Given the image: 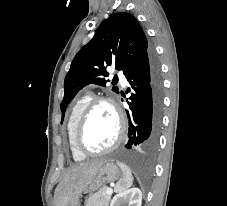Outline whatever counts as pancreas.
Here are the masks:
<instances>
[{
	"label": "pancreas",
	"mask_w": 227,
	"mask_h": 206,
	"mask_svg": "<svg viewBox=\"0 0 227 206\" xmlns=\"http://www.w3.org/2000/svg\"><path fill=\"white\" fill-rule=\"evenodd\" d=\"M108 187L103 186L97 192L91 194L85 206H108L111 194L107 193Z\"/></svg>",
	"instance_id": "cf45deb5"
}]
</instances>
